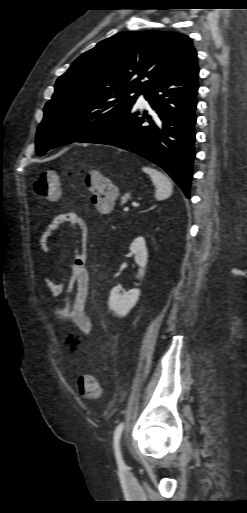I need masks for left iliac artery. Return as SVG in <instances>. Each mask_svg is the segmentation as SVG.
<instances>
[{
	"mask_svg": "<svg viewBox=\"0 0 247 513\" xmlns=\"http://www.w3.org/2000/svg\"><path fill=\"white\" fill-rule=\"evenodd\" d=\"M123 429H124V423L121 422L116 427L115 432H114V437H113V447H114V451H115V457H116L118 467L120 469L126 468V465L122 459V454H121V450H120V439L122 436Z\"/></svg>",
	"mask_w": 247,
	"mask_h": 513,
	"instance_id": "obj_1",
	"label": "left iliac artery"
}]
</instances>
